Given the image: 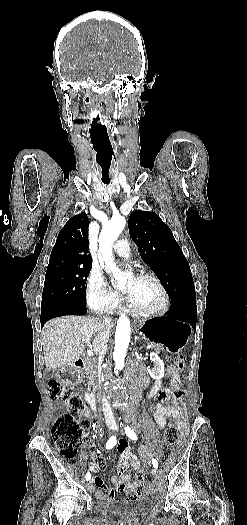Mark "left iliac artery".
<instances>
[{
    "label": "left iliac artery",
    "instance_id": "left-iliac-artery-1",
    "mask_svg": "<svg viewBox=\"0 0 247 525\" xmlns=\"http://www.w3.org/2000/svg\"><path fill=\"white\" fill-rule=\"evenodd\" d=\"M125 433L130 439L137 440L136 433L130 427H128V426L125 427ZM152 465H153L154 468H158V462L154 458L152 459Z\"/></svg>",
    "mask_w": 247,
    "mask_h": 525
}]
</instances>
